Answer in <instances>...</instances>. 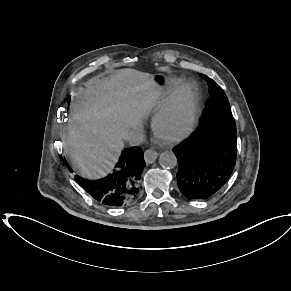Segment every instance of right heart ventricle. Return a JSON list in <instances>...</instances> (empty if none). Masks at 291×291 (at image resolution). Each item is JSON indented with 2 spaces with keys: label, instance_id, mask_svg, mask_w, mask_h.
<instances>
[{
  "label": "right heart ventricle",
  "instance_id": "right-heart-ventricle-1",
  "mask_svg": "<svg viewBox=\"0 0 291 291\" xmlns=\"http://www.w3.org/2000/svg\"><path fill=\"white\" fill-rule=\"evenodd\" d=\"M178 84H179V80H174L171 82L170 86L167 89L159 92V100H160L159 106L165 101L170 90Z\"/></svg>",
  "mask_w": 291,
  "mask_h": 291
}]
</instances>
